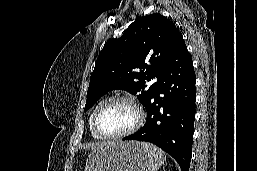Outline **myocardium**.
Here are the masks:
<instances>
[{"instance_id":"myocardium-1","label":"myocardium","mask_w":257,"mask_h":171,"mask_svg":"<svg viewBox=\"0 0 257 171\" xmlns=\"http://www.w3.org/2000/svg\"><path fill=\"white\" fill-rule=\"evenodd\" d=\"M115 103H127L131 105L137 114V120H136V123L127 131L122 132L120 134L108 135L100 131L98 127V118L105 108ZM144 122H145V113L135 99L129 96H117V97H113L108 100H105L99 105V107L96 109L93 115L92 129L94 133L102 139L117 140V139H122L134 134L143 126Z\"/></svg>"}]
</instances>
